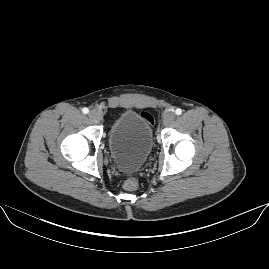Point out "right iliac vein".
Segmentation results:
<instances>
[{
    "mask_svg": "<svg viewBox=\"0 0 269 269\" xmlns=\"http://www.w3.org/2000/svg\"><path fill=\"white\" fill-rule=\"evenodd\" d=\"M88 116H89V118H90V120L92 122L99 123V121H100V114L97 111H95V110L90 111L88 113Z\"/></svg>",
    "mask_w": 269,
    "mask_h": 269,
    "instance_id": "63e3f726",
    "label": "right iliac vein"
}]
</instances>
